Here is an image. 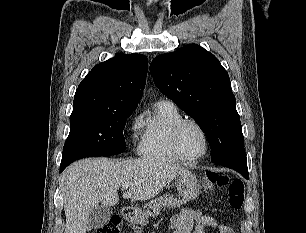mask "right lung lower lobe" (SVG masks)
Instances as JSON below:
<instances>
[{
    "label": "right lung lower lobe",
    "instance_id": "right-lung-lower-lobe-1",
    "mask_svg": "<svg viewBox=\"0 0 306 233\" xmlns=\"http://www.w3.org/2000/svg\"><path fill=\"white\" fill-rule=\"evenodd\" d=\"M66 166H68V164H61L60 165V172L63 171L66 168Z\"/></svg>",
    "mask_w": 306,
    "mask_h": 233
}]
</instances>
